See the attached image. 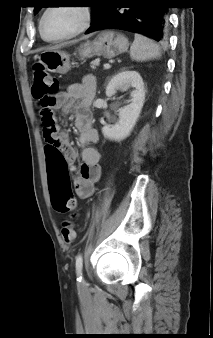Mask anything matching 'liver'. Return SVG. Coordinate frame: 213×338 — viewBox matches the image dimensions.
<instances>
[{"label": "liver", "mask_w": 213, "mask_h": 338, "mask_svg": "<svg viewBox=\"0 0 213 338\" xmlns=\"http://www.w3.org/2000/svg\"><path fill=\"white\" fill-rule=\"evenodd\" d=\"M58 47H52V48H50L49 50H53V49H57Z\"/></svg>", "instance_id": "6515ba94"}]
</instances>
